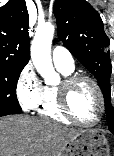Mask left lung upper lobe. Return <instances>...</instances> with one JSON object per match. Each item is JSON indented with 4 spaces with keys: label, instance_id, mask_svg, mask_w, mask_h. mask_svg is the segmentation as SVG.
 <instances>
[{
    "label": "left lung upper lobe",
    "instance_id": "5c2ea615",
    "mask_svg": "<svg viewBox=\"0 0 114 156\" xmlns=\"http://www.w3.org/2000/svg\"><path fill=\"white\" fill-rule=\"evenodd\" d=\"M55 17L58 37L65 47L96 77L105 99L109 129H114L111 105L109 44L98 12L85 0H56Z\"/></svg>",
    "mask_w": 114,
    "mask_h": 156
}]
</instances>
